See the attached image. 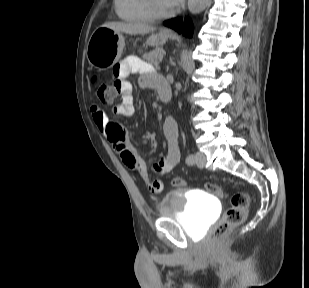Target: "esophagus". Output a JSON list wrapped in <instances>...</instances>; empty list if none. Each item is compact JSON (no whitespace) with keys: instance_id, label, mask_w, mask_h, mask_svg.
Returning a JSON list of instances; mask_svg holds the SVG:
<instances>
[{"instance_id":"esophagus-1","label":"esophagus","mask_w":309,"mask_h":288,"mask_svg":"<svg viewBox=\"0 0 309 288\" xmlns=\"http://www.w3.org/2000/svg\"><path fill=\"white\" fill-rule=\"evenodd\" d=\"M163 34H165V35H169V34H171V31H170V30H168V29H167V30H164V31H163Z\"/></svg>"}]
</instances>
